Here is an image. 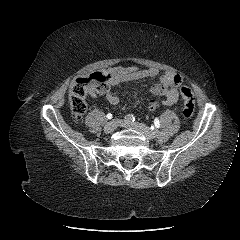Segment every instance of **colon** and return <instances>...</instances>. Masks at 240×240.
Masks as SVG:
<instances>
[{
  "mask_svg": "<svg viewBox=\"0 0 240 240\" xmlns=\"http://www.w3.org/2000/svg\"><path fill=\"white\" fill-rule=\"evenodd\" d=\"M109 74L102 71L93 72L73 81L69 89L70 110L76 120H80L87 110L86 97L88 94L102 93L106 90ZM183 99V116L191 119L195 112V97L189 87H181Z\"/></svg>",
  "mask_w": 240,
  "mask_h": 240,
  "instance_id": "5ec220e1",
  "label": "colon"
}]
</instances>
